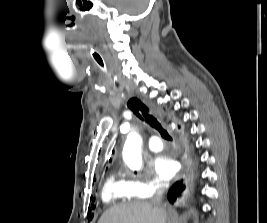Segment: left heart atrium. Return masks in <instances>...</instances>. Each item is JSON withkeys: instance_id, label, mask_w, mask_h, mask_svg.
Listing matches in <instances>:
<instances>
[{"instance_id": "obj_1", "label": "left heart atrium", "mask_w": 267, "mask_h": 223, "mask_svg": "<svg viewBox=\"0 0 267 223\" xmlns=\"http://www.w3.org/2000/svg\"><path fill=\"white\" fill-rule=\"evenodd\" d=\"M153 169L161 181L171 179L178 170V165L172 156L160 155L153 160Z\"/></svg>"}]
</instances>
